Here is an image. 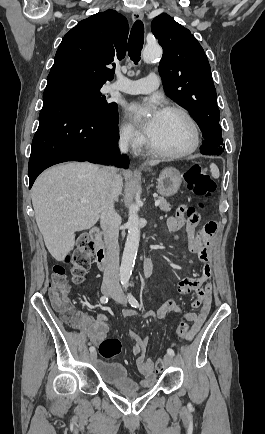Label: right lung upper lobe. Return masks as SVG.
Masks as SVG:
<instances>
[{
    "mask_svg": "<svg viewBox=\"0 0 265 434\" xmlns=\"http://www.w3.org/2000/svg\"><path fill=\"white\" fill-rule=\"evenodd\" d=\"M128 32L126 18L111 9L80 21L63 37L48 76L75 74L112 80V66L125 57Z\"/></svg>",
    "mask_w": 265,
    "mask_h": 434,
    "instance_id": "cb5924a9",
    "label": "right lung upper lobe"
}]
</instances>
